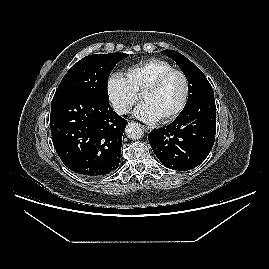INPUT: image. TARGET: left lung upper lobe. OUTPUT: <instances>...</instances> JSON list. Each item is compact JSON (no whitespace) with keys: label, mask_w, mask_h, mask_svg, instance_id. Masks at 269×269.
Returning <instances> with one entry per match:
<instances>
[{"label":"left lung upper lobe","mask_w":269,"mask_h":269,"mask_svg":"<svg viewBox=\"0 0 269 269\" xmlns=\"http://www.w3.org/2000/svg\"><path fill=\"white\" fill-rule=\"evenodd\" d=\"M162 52L175 60V62L181 68L188 80L189 97L184 109L188 107L191 103H193L195 100H197L199 97L213 92L212 87L208 82L206 76L189 59L174 50H165Z\"/></svg>","instance_id":"obj_1"}]
</instances>
